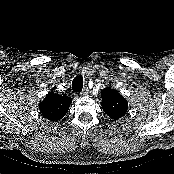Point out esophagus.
I'll use <instances>...</instances> for the list:
<instances>
[{"label": "esophagus", "mask_w": 174, "mask_h": 174, "mask_svg": "<svg viewBox=\"0 0 174 174\" xmlns=\"http://www.w3.org/2000/svg\"><path fill=\"white\" fill-rule=\"evenodd\" d=\"M88 93H89L88 88H85L79 95L80 96H86V95H88Z\"/></svg>", "instance_id": "34e87169"}]
</instances>
